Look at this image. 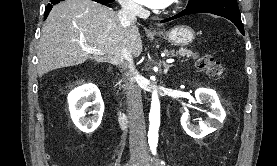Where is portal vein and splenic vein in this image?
<instances>
[{"label":"portal vein and splenic vein","mask_w":277,"mask_h":166,"mask_svg":"<svg viewBox=\"0 0 277 166\" xmlns=\"http://www.w3.org/2000/svg\"><path fill=\"white\" fill-rule=\"evenodd\" d=\"M84 50L90 54H102V52L96 48H93V47H86L84 48ZM167 63H173L174 62V59L170 58V59H167L166 60Z\"/></svg>","instance_id":"portal-vein-and-splenic-vein-1"}]
</instances>
